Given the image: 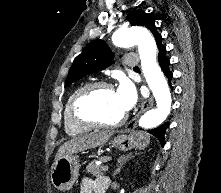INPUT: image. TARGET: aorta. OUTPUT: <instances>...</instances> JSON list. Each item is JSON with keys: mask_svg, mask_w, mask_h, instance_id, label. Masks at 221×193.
<instances>
[{"mask_svg": "<svg viewBox=\"0 0 221 193\" xmlns=\"http://www.w3.org/2000/svg\"><path fill=\"white\" fill-rule=\"evenodd\" d=\"M112 41L117 47L138 45L141 67L157 108L147 111L139 119V126L151 129L160 125L171 111V94L167 81L157 64V46L152 35L144 28L131 27L117 30Z\"/></svg>", "mask_w": 221, "mask_h": 193, "instance_id": "aorta-1", "label": "aorta"}]
</instances>
